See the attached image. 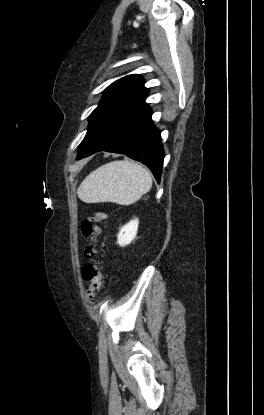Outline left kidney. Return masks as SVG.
I'll return each mask as SVG.
<instances>
[{
  "label": "left kidney",
  "instance_id": "5707ae66",
  "mask_svg": "<svg viewBox=\"0 0 264 415\" xmlns=\"http://www.w3.org/2000/svg\"><path fill=\"white\" fill-rule=\"evenodd\" d=\"M138 225V219H133L125 224L117 235V243L122 247L130 244L137 235Z\"/></svg>",
  "mask_w": 264,
  "mask_h": 415
}]
</instances>
